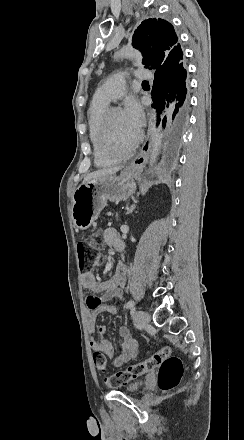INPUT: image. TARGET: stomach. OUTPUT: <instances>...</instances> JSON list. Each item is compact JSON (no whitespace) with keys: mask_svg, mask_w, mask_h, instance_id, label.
<instances>
[{"mask_svg":"<svg viewBox=\"0 0 244 440\" xmlns=\"http://www.w3.org/2000/svg\"><path fill=\"white\" fill-rule=\"evenodd\" d=\"M137 174L124 170L120 176L92 178L88 184H80L73 192L71 218L75 228L87 230L97 220L101 210L110 202H124L135 194Z\"/></svg>","mask_w":244,"mask_h":440,"instance_id":"stomach-1","label":"stomach"}]
</instances>
